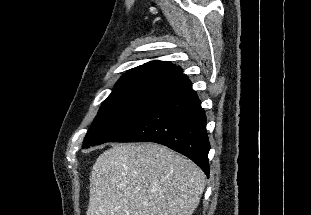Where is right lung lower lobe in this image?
<instances>
[{"instance_id": "right-lung-lower-lobe-1", "label": "right lung lower lobe", "mask_w": 311, "mask_h": 215, "mask_svg": "<svg viewBox=\"0 0 311 215\" xmlns=\"http://www.w3.org/2000/svg\"><path fill=\"white\" fill-rule=\"evenodd\" d=\"M113 142H155L194 161L209 176L206 115L188 77L172 83L159 102Z\"/></svg>"}]
</instances>
